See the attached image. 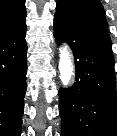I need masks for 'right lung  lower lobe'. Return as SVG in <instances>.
I'll return each mask as SVG.
<instances>
[{
  "label": "right lung lower lobe",
  "instance_id": "right-lung-lower-lobe-1",
  "mask_svg": "<svg viewBox=\"0 0 117 136\" xmlns=\"http://www.w3.org/2000/svg\"><path fill=\"white\" fill-rule=\"evenodd\" d=\"M27 26L0 37V136H20L26 92Z\"/></svg>",
  "mask_w": 117,
  "mask_h": 136
}]
</instances>
